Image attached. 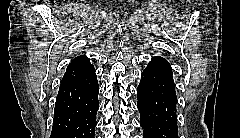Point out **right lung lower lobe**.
Listing matches in <instances>:
<instances>
[{
  "mask_svg": "<svg viewBox=\"0 0 240 138\" xmlns=\"http://www.w3.org/2000/svg\"><path fill=\"white\" fill-rule=\"evenodd\" d=\"M98 92L95 73L59 87L50 138H94Z\"/></svg>",
  "mask_w": 240,
  "mask_h": 138,
  "instance_id": "right-lung-lower-lobe-1",
  "label": "right lung lower lobe"
}]
</instances>
